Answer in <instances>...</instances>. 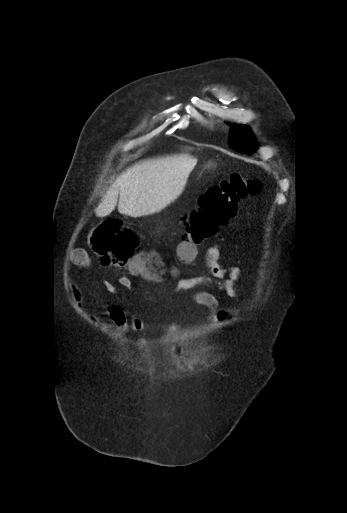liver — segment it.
Masks as SVG:
<instances>
[{
    "label": "liver",
    "instance_id": "obj_1",
    "mask_svg": "<svg viewBox=\"0 0 347 513\" xmlns=\"http://www.w3.org/2000/svg\"><path fill=\"white\" fill-rule=\"evenodd\" d=\"M197 159L189 154L143 160L122 172L111 184L96 216L105 217L116 207L132 217L159 212L182 192Z\"/></svg>",
    "mask_w": 347,
    "mask_h": 513
}]
</instances>
